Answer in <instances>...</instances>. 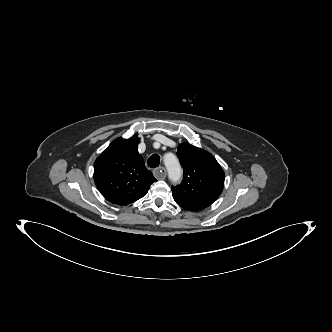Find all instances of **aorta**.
Returning <instances> with one entry per match:
<instances>
[{"label": "aorta", "instance_id": "762f6f07", "mask_svg": "<svg viewBox=\"0 0 332 332\" xmlns=\"http://www.w3.org/2000/svg\"><path fill=\"white\" fill-rule=\"evenodd\" d=\"M164 164L168 170L169 179L176 182L182 177V168L177 157L173 153H166L163 156Z\"/></svg>", "mask_w": 332, "mask_h": 332}]
</instances>
